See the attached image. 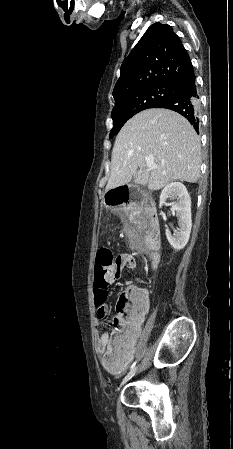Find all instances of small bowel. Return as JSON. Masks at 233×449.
<instances>
[{
  "instance_id": "small-bowel-1",
  "label": "small bowel",
  "mask_w": 233,
  "mask_h": 449,
  "mask_svg": "<svg viewBox=\"0 0 233 449\" xmlns=\"http://www.w3.org/2000/svg\"><path fill=\"white\" fill-rule=\"evenodd\" d=\"M136 266H137L136 259L132 255L128 253H119L116 258L115 266L110 269V278H109L110 281L113 282L119 279L124 269L134 270ZM125 284L127 286H131L133 284V279L125 280ZM108 314H109V307L107 304H104V306L101 308H97L96 325H99L101 320L107 317ZM140 333L141 329L139 327L136 334L126 344L125 349L120 350L119 352H116L115 349L112 347L111 345L112 339L110 335L108 333H104L97 339L96 342L97 353L100 356H102V360L107 353L113 354L116 358H121L123 360V365L118 369H115V371H117L118 373H122L126 369L127 365L130 363V361L133 359L136 341Z\"/></svg>"
}]
</instances>
